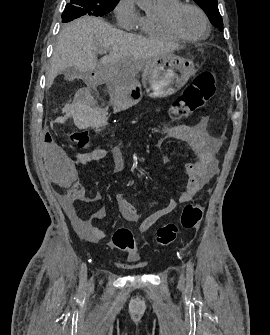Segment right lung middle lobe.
Returning a JSON list of instances; mask_svg holds the SVG:
<instances>
[{
  "mask_svg": "<svg viewBox=\"0 0 270 335\" xmlns=\"http://www.w3.org/2000/svg\"><path fill=\"white\" fill-rule=\"evenodd\" d=\"M119 0H70L62 14V22H70L83 15L103 16L117 5Z\"/></svg>",
  "mask_w": 270,
  "mask_h": 335,
  "instance_id": "right-lung-middle-lobe-1",
  "label": "right lung middle lobe"
}]
</instances>
